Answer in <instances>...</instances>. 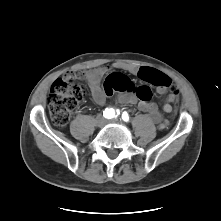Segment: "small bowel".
<instances>
[{
  "label": "small bowel",
  "mask_w": 221,
  "mask_h": 221,
  "mask_svg": "<svg viewBox=\"0 0 221 221\" xmlns=\"http://www.w3.org/2000/svg\"><path fill=\"white\" fill-rule=\"evenodd\" d=\"M115 68L123 71L130 72L132 74L139 72L137 66L133 64H126L122 62H117L113 65ZM109 68L107 67H96L86 71L82 77L88 84V87L91 92V96L95 103L102 105L105 103L109 94L106 92L105 87H101V81L104 76L108 73ZM160 72V71H159ZM71 76L79 77L80 75L77 73H71ZM108 85L114 89L119 91L118 93V101L122 104L134 105L138 104V107L143 112L147 113L152 122L159 125L160 128H164L167 125V120H163L161 113L158 110L157 105L152 101H144L140 100L132 91L129 89L120 90L119 88L131 84L130 79L120 73L115 72L108 76L107 79ZM159 95H165L167 93V88L165 87H157L156 89ZM177 99L173 93L167 94L163 104V111L166 114H170L173 110L172 104Z\"/></svg>",
  "instance_id": "small-bowel-1"
}]
</instances>
